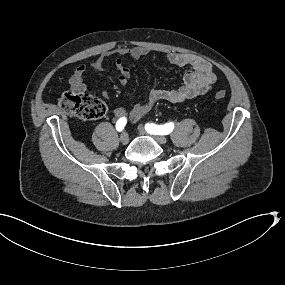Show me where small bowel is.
I'll return each instance as SVG.
<instances>
[{"instance_id": "c3829d8e", "label": "small bowel", "mask_w": 285, "mask_h": 285, "mask_svg": "<svg viewBox=\"0 0 285 285\" xmlns=\"http://www.w3.org/2000/svg\"><path fill=\"white\" fill-rule=\"evenodd\" d=\"M148 54L149 51L143 47L119 46L112 51L101 54L91 64V68L97 72L103 71L108 59L115 57L116 69L119 72V82L120 84L125 85L130 76V71L123 63L122 57L130 56L134 59H139ZM167 60L172 65L178 67H189L184 75L182 86L177 89H152L144 102L135 104L130 110V116L133 122L140 120L159 101L181 103L195 99L198 96L209 92L216 81V74L213 71L211 63L200 56L188 53L170 52L167 54ZM86 71L87 68L84 65H81L76 68L70 77L69 84L73 91H85L86 85L84 83V75ZM101 94L104 98L109 97L107 90H103ZM128 113L129 111L125 107H118L114 110L115 117L119 119L128 115Z\"/></svg>"}]
</instances>
